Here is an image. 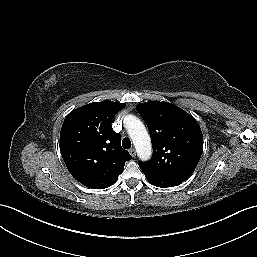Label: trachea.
<instances>
[{
	"mask_svg": "<svg viewBox=\"0 0 257 257\" xmlns=\"http://www.w3.org/2000/svg\"><path fill=\"white\" fill-rule=\"evenodd\" d=\"M122 146H123V148H125V149L131 148V141H130V139L124 138V139L122 140Z\"/></svg>",
	"mask_w": 257,
	"mask_h": 257,
	"instance_id": "1",
	"label": "trachea"
}]
</instances>
